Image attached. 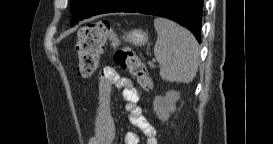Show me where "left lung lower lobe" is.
<instances>
[{
  "label": "left lung lower lobe",
  "instance_id": "1",
  "mask_svg": "<svg viewBox=\"0 0 273 144\" xmlns=\"http://www.w3.org/2000/svg\"><path fill=\"white\" fill-rule=\"evenodd\" d=\"M109 12H139L168 18L189 29L201 43L203 0H96L90 9L73 15L70 25Z\"/></svg>",
  "mask_w": 273,
  "mask_h": 144
}]
</instances>
